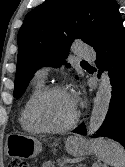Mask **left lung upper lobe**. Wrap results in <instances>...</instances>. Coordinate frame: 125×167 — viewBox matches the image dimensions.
<instances>
[{
	"mask_svg": "<svg viewBox=\"0 0 125 167\" xmlns=\"http://www.w3.org/2000/svg\"><path fill=\"white\" fill-rule=\"evenodd\" d=\"M118 17L115 0H46L28 12L18 32L14 97H21L39 68L64 64L73 40L100 43Z\"/></svg>",
	"mask_w": 125,
	"mask_h": 167,
	"instance_id": "1",
	"label": "left lung upper lobe"
}]
</instances>
